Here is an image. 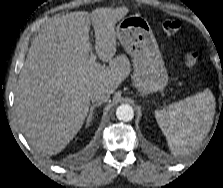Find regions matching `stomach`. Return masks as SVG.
<instances>
[{"label": "stomach", "mask_w": 223, "mask_h": 188, "mask_svg": "<svg viewBox=\"0 0 223 188\" xmlns=\"http://www.w3.org/2000/svg\"><path fill=\"white\" fill-rule=\"evenodd\" d=\"M115 31L119 42L133 58V81L140 95L162 91L168 75L148 21L140 15L124 17Z\"/></svg>", "instance_id": "1"}]
</instances>
